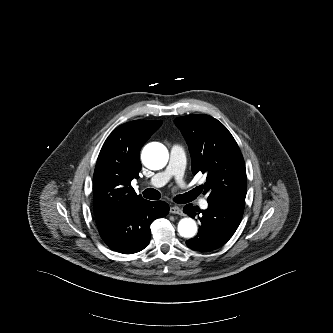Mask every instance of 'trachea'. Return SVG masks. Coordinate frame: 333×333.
<instances>
[{
	"instance_id": "trachea-1",
	"label": "trachea",
	"mask_w": 333,
	"mask_h": 333,
	"mask_svg": "<svg viewBox=\"0 0 333 333\" xmlns=\"http://www.w3.org/2000/svg\"><path fill=\"white\" fill-rule=\"evenodd\" d=\"M144 197L149 198V199H158L160 197V193L152 188L146 189L143 192ZM193 200V196H192V191L185 193L183 195H179L176 197L175 201L177 203H188L190 201Z\"/></svg>"
}]
</instances>
